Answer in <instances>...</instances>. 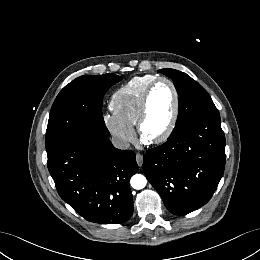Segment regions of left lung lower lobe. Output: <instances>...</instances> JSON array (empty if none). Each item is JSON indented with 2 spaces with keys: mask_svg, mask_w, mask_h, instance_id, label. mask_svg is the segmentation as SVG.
<instances>
[{
  "mask_svg": "<svg viewBox=\"0 0 260 260\" xmlns=\"http://www.w3.org/2000/svg\"><path fill=\"white\" fill-rule=\"evenodd\" d=\"M225 167V136L220 116L199 118L144 155L146 178L175 215L206 204Z\"/></svg>",
  "mask_w": 260,
  "mask_h": 260,
  "instance_id": "0a47b994",
  "label": "left lung lower lobe"
}]
</instances>
